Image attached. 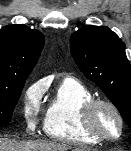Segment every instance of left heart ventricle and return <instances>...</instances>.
<instances>
[{"mask_svg":"<svg viewBox=\"0 0 131 151\" xmlns=\"http://www.w3.org/2000/svg\"><path fill=\"white\" fill-rule=\"evenodd\" d=\"M98 129L107 136H116L119 132V122L108 108H100L96 115Z\"/></svg>","mask_w":131,"mask_h":151,"instance_id":"obj_1","label":"left heart ventricle"}]
</instances>
